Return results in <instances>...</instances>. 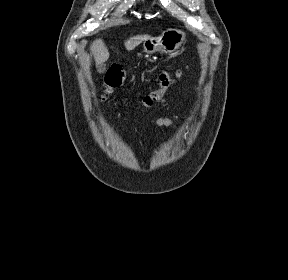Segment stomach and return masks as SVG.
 I'll use <instances>...</instances> for the list:
<instances>
[{"instance_id":"1","label":"stomach","mask_w":288,"mask_h":280,"mask_svg":"<svg viewBox=\"0 0 288 280\" xmlns=\"http://www.w3.org/2000/svg\"><path fill=\"white\" fill-rule=\"evenodd\" d=\"M186 38V33L182 30L169 28L165 30L161 36L148 38L143 43L144 52L148 55L154 54L157 51L164 53L175 52Z\"/></svg>"}]
</instances>
